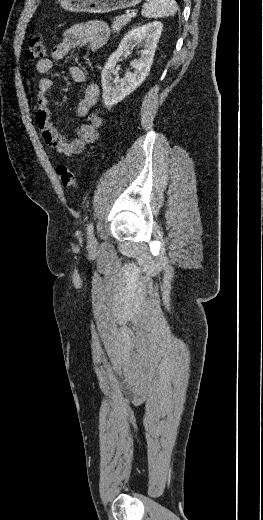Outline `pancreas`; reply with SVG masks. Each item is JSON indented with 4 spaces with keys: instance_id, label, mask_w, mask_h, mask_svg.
<instances>
[{
    "instance_id": "cf45deb5",
    "label": "pancreas",
    "mask_w": 263,
    "mask_h": 520,
    "mask_svg": "<svg viewBox=\"0 0 263 520\" xmlns=\"http://www.w3.org/2000/svg\"><path fill=\"white\" fill-rule=\"evenodd\" d=\"M132 17H128L127 15L118 16L114 19L112 24V30L116 33L119 32L123 26L128 24L131 21Z\"/></svg>"
}]
</instances>
